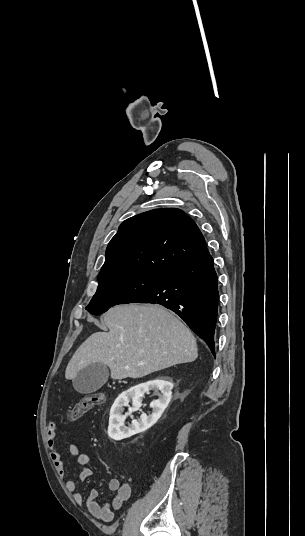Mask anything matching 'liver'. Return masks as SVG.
Listing matches in <instances>:
<instances>
[{
  "label": "liver",
  "mask_w": 305,
  "mask_h": 536,
  "mask_svg": "<svg viewBox=\"0 0 305 536\" xmlns=\"http://www.w3.org/2000/svg\"><path fill=\"white\" fill-rule=\"evenodd\" d=\"M103 322L109 332H96L79 346L65 370L66 380L96 362L110 368L112 380H124L194 362L198 356L189 328L158 304L115 306Z\"/></svg>",
  "instance_id": "liver-1"
}]
</instances>
